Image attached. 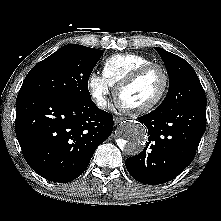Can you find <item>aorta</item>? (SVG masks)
Instances as JSON below:
<instances>
[{
	"label": "aorta",
	"instance_id": "aorta-1",
	"mask_svg": "<svg viewBox=\"0 0 221 221\" xmlns=\"http://www.w3.org/2000/svg\"><path fill=\"white\" fill-rule=\"evenodd\" d=\"M121 132L123 138L117 140L119 147L127 155L134 156L139 154L147 139L145 127L140 123L128 121L122 125Z\"/></svg>",
	"mask_w": 221,
	"mask_h": 221
}]
</instances>
